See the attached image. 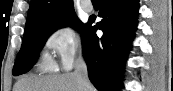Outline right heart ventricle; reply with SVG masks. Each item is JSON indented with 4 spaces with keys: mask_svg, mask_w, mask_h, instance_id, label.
<instances>
[{
    "mask_svg": "<svg viewBox=\"0 0 173 91\" xmlns=\"http://www.w3.org/2000/svg\"><path fill=\"white\" fill-rule=\"evenodd\" d=\"M42 67L45 69H50L52 66L48 61L47 57H44L43 62H42Z\"/></svg>",
    "mask_w": 173,
    "mask_h": 91,
    "instance_id": "e07e8e85",
    "label": "right heart ventricle"
}]
</instances>
